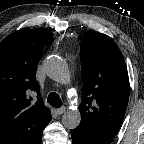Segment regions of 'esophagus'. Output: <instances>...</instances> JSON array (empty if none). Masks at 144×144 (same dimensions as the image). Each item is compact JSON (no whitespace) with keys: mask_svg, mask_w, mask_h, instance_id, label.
I'll use <instances>...</instances> for the list:
<instances>
[{"mask_svg":"<svg viewBox=\"0 0 144 144\" xmlns=\"http://www.w3.org/2000/svg\"><path fill=\"white\" fill-rule=\"evenodd\" d=\"M65 111H66V108H65L64 106L57 109V113H58L59 115L63 114Z\"/></svg>","mask_w":144,"mask_h":144,"instance_id":"1","label":"esophagus"}]
</instances>
